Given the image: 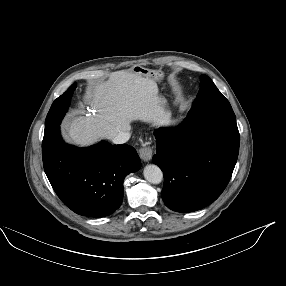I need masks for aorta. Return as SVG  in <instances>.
<instances>
[{
    "label": "aorta",
    "mask_w": 286,
    "mask_h": 286,
    "mask_svg": "<svg viewBox=\"0 0 286 286\" xmlns=\"http://www.w3.org/2000/svg\"><path fill=\"white\" fill-rule=\"evenodd\" d=\"M144 177L151 184H159L163 180V173L161 169L154 165L150 164L144 168Z\"/></svg>",
    "instance_id": "1"
}]
</instances>
